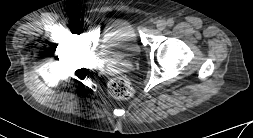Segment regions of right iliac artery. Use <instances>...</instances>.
I'll return each instance as SVG.
<instances>
[{
  "instance_id": "1",
  "label": "right iliac artery",
  "mask_w": 253,
  "mask_h": 138,
  "mask_svg": "<svg viewBox=\"0 0 253 138\" xmlns=\"http://www.w3.org/2000/svg\"><path fill=\"white\" fill-rule=\"evenodd\" d=\"M64 23L67 25V26H70V24L72 23V21L69 19V18H66L64 20Z\"/></svg>"
}]
</instances>
